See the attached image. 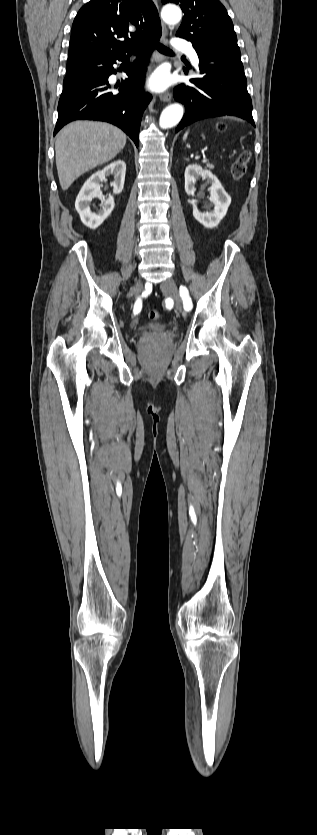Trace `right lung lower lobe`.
<instances>
[{"instance_id": "1", "label": "right lung lower lobe", "mask_w": 317, "mask_h": 835, "mask_svg": "<svg viewBox=\"0 0 317 835\" xmlns=\"http://www.w3.org/2000/svg\"><path fill=\"white\" fill-rule=\"evenodd\" d=\"M160 37L161 33L154 38ZM133 50L140 51V54L131 66L124 67L129 78L114 87L108 83V77L116 73L113 68L116 60L127 61L126 53L112 56H103L98 52L69 55L66 76L86 69H91L95 76L64 85L54 135L71 121L98 120L118 126L138 146L142 114L151 101V95L138 88L144 83L146 59L153 50L151 40ZM133 50L127 53L131 54ZM115 89L119 90L118 94L113 93Z\"/></svg>"}]
</instances>
